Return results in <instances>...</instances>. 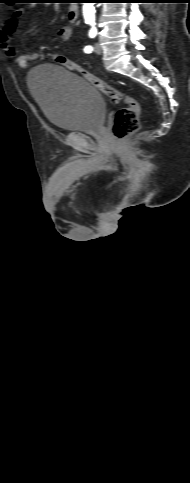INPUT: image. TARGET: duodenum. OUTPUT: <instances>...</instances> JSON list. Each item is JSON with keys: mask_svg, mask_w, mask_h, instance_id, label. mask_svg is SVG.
<instances>
[{"mask_svg": "<svg viewBox=\"0 0 190 483\" xmlns=\"http://www.w3.org/2000/svg\"><path fill=\"white\" fill-rule=\"evenodd\" d=\"M68 19L71 22H75L79 16V8L76 4H71L68 8Z\"/></svg>", "mask_w": 190, "mask_h": 483, "instance_id": "obj_1", "label": "duodenum"}]
</instances>
